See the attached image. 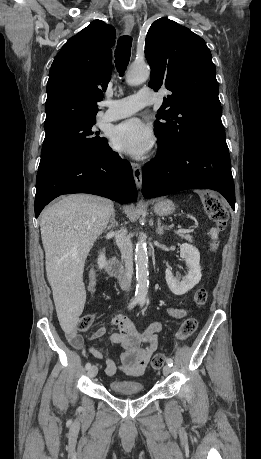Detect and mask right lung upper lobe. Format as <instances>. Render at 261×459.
Instances as JSON below:
<instances>
[{"label":"right lung upper lobe","instance_id":"cb5924a9","mask_svg":"<svg viewBox=\"0 0 261 459\" xmlns=\"http://www.w3.org/2000/svg\"><path fill=\"white\" fill-rule=\"evenodd\" d=\"M115 30L93 21L71 37L54 58L47 82L44 128L96 119L97 102L111 78Z\"/></svg>","mask_w":261,"mask_h":459}]
</instances>
